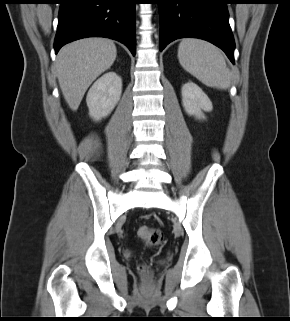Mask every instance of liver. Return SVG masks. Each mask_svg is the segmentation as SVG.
<instances>
[{
    "label": "liver",
    "instance_id": "6515ba94",
    "mask_svg": "<svg viewBox=\"0 0 290 321\" xmlns=\"http://www.w3.org/2000/svg\"><path fill=\"white\" fill-rule=\"evenodd\" d=\"M117 55L113 41L90 37L69 43L57 55L58 82L69 107L76 111L92 82L109 69Z\"/></svg>",
    "mask_w": 290,
    "mask_h": 321
}]
</instances>
